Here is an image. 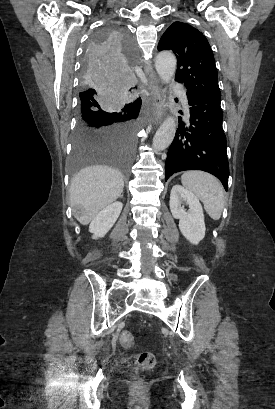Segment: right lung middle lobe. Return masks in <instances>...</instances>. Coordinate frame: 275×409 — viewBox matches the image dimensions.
I'll return each instance as SVG.
<instances>
[{
    "label": "right lung middle lobe",
    "mask_w": 275,
    "mask_h": 409,
    "mask_svg": "<svg viewBox=\"0 0 275 409\" xmlns=\"http://www.w3.org/2000/svg\"><path fill=\"white\" fill-rule=\"evenodd\" d=\"M135 49L123 24H105L87 44L77 73L82 90L70 156L74 179L82 167L96 165H115L127 179L132 175L141 103L125 105V97L114 91L126 90Z\"/></svg>",
    "instance_id": "dd1d6c3e"
}]
</instances>
